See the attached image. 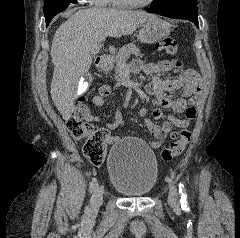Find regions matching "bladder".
I'll list each match as a JSON object with an SVG mask.
<instances>
[{
	"mask_svg": "<svg viewBox=\"0 0 240 238\" xmlns=\"http://www.w3.org/2000/svg\"><path fill=\"white\" fill-rule=\"evenodd\" d=\"M107 167L112 187L125 196H146L157 182L156 155L135 138L122 139L111 147Z\"/></svg>",
	"mask_w": 240,
	"mask_h": 238,
	"instance_id": "obj_1",
	"label": "bladder"
}]
</instances>
